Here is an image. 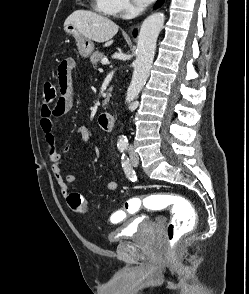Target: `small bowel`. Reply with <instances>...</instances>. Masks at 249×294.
<instances>
[{"label": "small bowel", "mask_w": 249, "mask_h": 294, "mask_svg": "<svg viewBox=\"0 0 249 294\" xmlns=\"http://www.w3.org/2000/svg\"><path fill=\"white\" fill-rule=\"evenodd\" d=\"M71 68L68 72L63 74L58 69V82L60 86L61 96L53 104H42L40 109V129L45 137L46 142V152L48 160L51 164V171L53 177L58 184L62 195L68 193L69 185L73 184L77 177L75 174L64 175L62 164L64 158L62 152L66 153L71 151L72 146L66 144L62 148V152L56 146V135L54 132L55 120L59 117L67 114L74 102V88L72 81V70L74 68V61L70 58ZM73 137L81 138L85 144L91 143L94 140L93 132L85 125H80L76 127L72 134ZM119 185L116 181H108L106 183V189L108 191H116ZM119 212L115 213L111 217L113 223H118L121 221Z\"/></svg>", "instance_id": "small-bowel-1"}]
</instances>
